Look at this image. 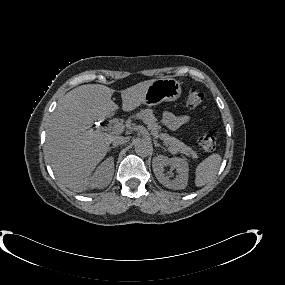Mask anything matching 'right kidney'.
Masks as SVG:
<instances>
[{
    "instance_id": "right-kidney-1",
    "label": "right kidney",
    "mask_w": 285,
    "mask_h": 285,
    "mask_svg": "<svg viewBox=\"0 0 285 285\" xmlns=\"http://www.w3.org/2000/svg\"><path fill=\"white\" fill-rule=\"evenodd\" d=\"M114 175V159L112 157L104 160L95 170L91 176L90 185L91 188L102 189L107 187Z\"/></svg>"
}]
</instances>
